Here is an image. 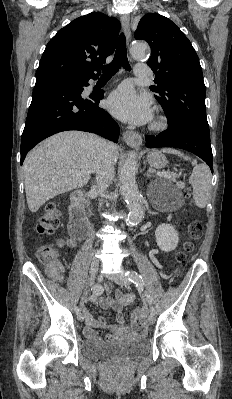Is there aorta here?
Returning a JSON list of instances; mask_svg holds the SVG:
<instances>
[{"mask_svg": "<svg viewBox=\"0 0 232 399\" xmlns=\"http://www.w3.org/2000/svg\"><path fill=\"white\" fill-rule=\"evenodd\" d=\"M148 45L136 42L130 48V53L135 59H142L146 56ZM137 156L134 151L127 154L121 170V194L127 203L129 214L127 224L137 225L144 216V209L140 202V193L136 184Z\"/></svg>", "mask_w": 232, "mask_h": 399, "instance_id": "1", "label": "aorta"}]
</instances>
